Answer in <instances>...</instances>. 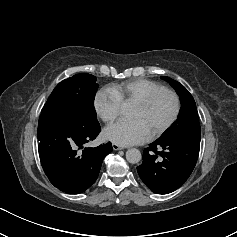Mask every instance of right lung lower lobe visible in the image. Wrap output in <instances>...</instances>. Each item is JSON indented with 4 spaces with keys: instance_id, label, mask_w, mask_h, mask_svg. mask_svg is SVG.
I'll use <instances>...</instances> for the list:
<instances>
[{
    "instance_id": "98d812e1",
    "label": "right lung lower lobe",
    "mask_w": 237,
    "mask_h": 237,
    "mask_svg": "<svg viewBox=\"0 0 237 237\" xmlns=\"http://www.w3.org/2000/svg\"><path fill=\"white\" fill-rule=\"evenodd\" d=\"M100 131V125L78 129L61 119L40 116L39 156L45 174L56 188L78 194L95 182L104 157L113 150L112 144L84 149L83 145L95 139Z\"/></svg>"
}]
</instances>
